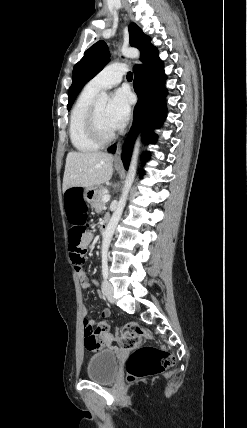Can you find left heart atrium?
<instances>
[{
	"mask_svg": "<svg viewBox=\"0 0 247 428\" xmlns=\"http://www.w3.org/2000/svg\"><path fill=\"white\" fill-rule=\"evenodd\" d=\"M130 115V96L126 90H117L107 106V118L114 130L122 128Z\"/></svg>",
	"mask_w": 247,
	"mask_h": 428,
	"instance_id": "left-heart-atrium-1",
	"label": "left heart atrium"
}]
</instances>
